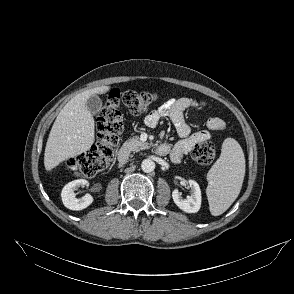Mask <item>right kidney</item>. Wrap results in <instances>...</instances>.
<instances>
[{"mask_svg":"<svg viewBox=\"0 0 294 294\" xmlns=\"http://www.w3.org/2000/svg\"><path fill=\"white\" fill-rule=\"evenodd\" d=\"M87 184L88 182L85 179L74 180L66 184L61 192L64 206L76 211L87 208L93 202V197L90 194H86L81 198H77L75 193V190Z\"/></svg>","mask_w":294,"mask_h":294,"instance_id":"right-kidney-1","label":"right kidney"}]
</instances>
